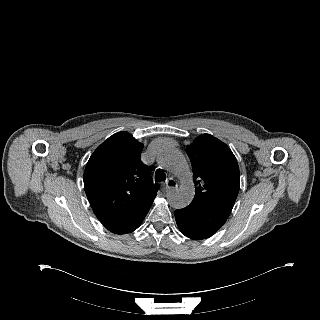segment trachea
Here are the masks:
<instances>
[{
    "label": "trachea",
    "mask_w": 320,
    "mask_h": 320,
    "mask_svg": "<svg viewBox=\"0 0 320 320\" xmlns=\"http://www.w3.org/2000/svg\"><path fill=\"white\" fill-rule=\"evenodd\" d=\"M166 180V175L162 169H157L155 172V181L162 182Z\"/></svg>",
    "instance_id": "3493384b"
}]
</instances>
